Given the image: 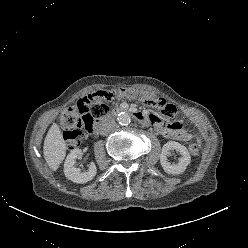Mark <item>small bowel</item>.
Returning <instances> with one entry per match:
<instances>
[{"label": "small bowel", "instance_id": "obj_1", "mask_svg": "<svg viewBox=\"0 0 248 248\" xmlns=\"http://www.w3.org/2000/svg\"><path fill=\"white\" fill-rule=\"evenodd\" d=\"M153 121L157 131L164 137L175 139L181 142H188L192 138L201 139V134L197 129H195L193 134L188 133L184 128L183 122L177 121L172 124H166L161 122L156 117H153Z\"/></svg>", "mask_w": 248, "mask_h": 248}]
</instances>
